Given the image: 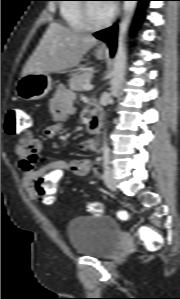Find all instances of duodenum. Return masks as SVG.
Segmentation results:
<instances>
[{
	"label": "duodenum",
	"mask_w": 180,
	"mask_h": 299,
	"mask_svg": "<svg viewBox=\"0 0 180 299\" xmlns=\"http://www.w3.org/2000/svg\"><path fill=\"white\" fill-rule=\"evenodd\" d=\"M103 114L99 111H94L88 119V130L92 133H97L101 127Z\"/></svg>",
	"instance_id": "410a0bca"
}]
</instances>
